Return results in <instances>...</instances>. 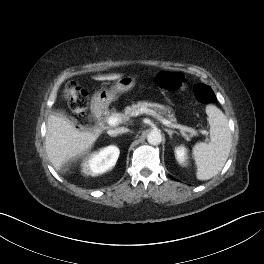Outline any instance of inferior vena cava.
<instances>
[{
    "label": "inferior vena cava",
    "mask_w": 264,
    "mask_h": 264,
    "mask_svg": "<svg viewBox=\"0 0 264 264\" xmlns=\"http://www.w3.org/2000/svg\"><path fill=\"white\" fill-rule=\"evenodd\" d=\"M126 132H128V129L127 128H123V127L108 130V134L110 136H117L118 134L126 133Z\"/></svg>",
    "instance_id": "602c4592"
}]
</instances>
